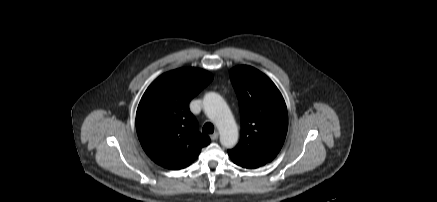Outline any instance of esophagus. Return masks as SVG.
Wrapping results in <instances>:
<instances>
[{"mask_svg":"<svg viewBox=\"0 0 437 202\" xmlns=\"http://www.w3.org/2000/svg\"><path fill=\"white\" fill-rule=\"evenodd\" d=\"M219 134L217 132L213 133L212 135H210L211 140L215 141L218 139Z\"/></svg>","mask_w":437,"mask_h":202,"instance_id":"obj_1","label":"esophagus"}]
</instances>
